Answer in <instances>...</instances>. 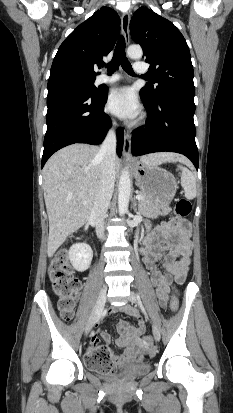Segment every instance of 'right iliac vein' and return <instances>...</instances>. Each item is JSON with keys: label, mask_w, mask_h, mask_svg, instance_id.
<instances>
[{"label": "right iliac vein", "mask_w": 233, "mask_h": 413, "mask_svg": "<svg viewBox=\"0 0 233 413\" xmlns=\"http://www.w3.org/2000/svg\"><path fill=\"white\" fill-rule=\"evenodd\" d=\"M105 302H106V288H103L98 296V299L96 301V304L94 306V309L91 313V316L88 320V323L86 325L85 328V335H87L90 330L92 329V327L94 326V324L96 323V321L99 319V317L102 314L103 308L105 306Z\"/></svg>", "instance_id": "right-iliac-vein-1"}]
</instances>
